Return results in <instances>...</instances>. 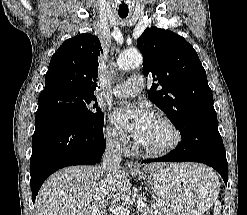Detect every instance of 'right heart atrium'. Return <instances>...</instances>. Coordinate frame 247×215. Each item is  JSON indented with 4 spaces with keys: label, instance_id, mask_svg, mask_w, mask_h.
I'll return each mask as SVG.
<instances>
[{
    "label": "right heart atrium",
    "instance_id": "d8ad5b80",
    "mask_svg": "<svg viewBox=\"0 0 247 215\" xmlns=\"http://www.w3.org/2000/svg\"><path fill=\"white\" fill-rule=\"evenodd\" d=\"M104 137L107 145L116 151H125L128 147V139L115 127L107 125L104 128Z\"/></svg>",
    "mask_w": 247,
    "mask_h": 215
}]
</instances>
